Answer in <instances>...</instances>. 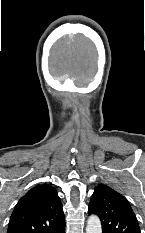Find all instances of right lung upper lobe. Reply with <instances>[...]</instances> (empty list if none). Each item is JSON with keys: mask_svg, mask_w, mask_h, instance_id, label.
Instances as JSON below:
<instances>
[{"mask_svg": "<svg viewBox=\"0 0 145 233\" xmlns=\"http://www.w3.org/2000/svg\"><path fill=\"white\" fill-rule=\"evenodd\" d=\"M65 223L57 191L44 184L30 189L17 203L7 233H53Z\"/></svg>", "mask_w": 145, "mask_h": 233, "instance_id": "1", "label": "right lung upper lobe"}]
</instances>
